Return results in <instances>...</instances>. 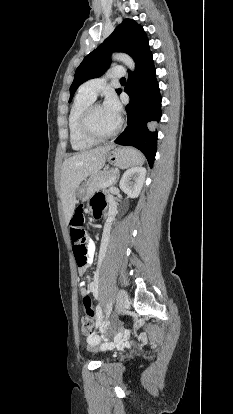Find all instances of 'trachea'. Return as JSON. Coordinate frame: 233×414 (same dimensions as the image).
Listing matches in <instances>:
<instances>
[{"mask_svg": "<svg viewBox=\"0 0 233 414\" xmlns=\"http://www.w3.org/2000/svg\"><path fill=\"white\" fill-rule=\"evenodd\" d=\"M120 82H126V79L125 78H121L120 79Z\"/></svg>", "mask_w": 233, "mask_h": 414, "instance_id": "obj_1", "label": "trachea"}]
</instances>
